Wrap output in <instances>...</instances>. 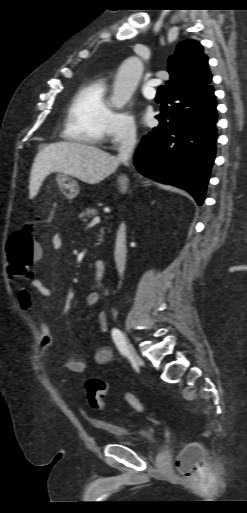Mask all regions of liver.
Segmentation results:
<instances>
[{
  "mask_svg": "<svg viewBox=\"0 0 247 513\" xmlns=\"http://www.w3.org/2000/svg\"><path fill=\"white\" fill-rule=\"evenodd\" d=\"M120 161L107 152L78 142H57L45 146L34 160L30 176V198L38 192L44 178L52 172L69 174L87 184H97L117 169ZM126 192L128 179L118 177Z\"/></svg>",
  "mask_w": 247,
  "mask_h": 513,
  "instance_id": "1",
  "label": "liver"
}]
</instances>
